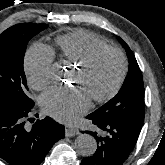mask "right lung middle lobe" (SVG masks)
Masks as SVG:
<instances>
[{
	"label": "right lung middle lobe",
	"instance_id": "1",
	"mask_svg": "<svg viewBox=\"0 0 165 165\" xmlns=\"http://www.w3.org/2000/svg\"><path fill=\"white\" fill-rule=\"evenodd\" d=\"M47 27L45 24L22 23L0 35V103L34 106L27 95L23 60L29 40Z\"/></svg>",
	"mask_w": 165,
	"mask_h": 165
}]
</instances>
